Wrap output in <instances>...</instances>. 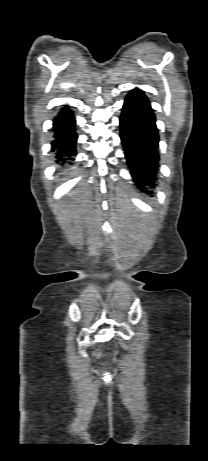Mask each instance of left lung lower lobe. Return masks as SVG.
I'll use <instances>...</instances> for the list:
<instances>
[{
	"instance_id": "0a47b994",
	"label": "left lung lower lobe",
	"mask_w": 208,
	"mask_h": 461,
	"mask_svg": "<svg viewBox=\"0 0 208 461\" xmlns=\"http://www.w3.org/2000/svg\"><path fill=\"white\" fill-rule=\"evenodd\" d=\"M150 102L135 88L126 97L120 116V137L133 179L141 191L154 185L158 167V129Z\"/></svg>"
}]
</instances>
